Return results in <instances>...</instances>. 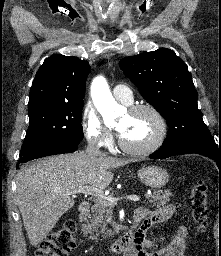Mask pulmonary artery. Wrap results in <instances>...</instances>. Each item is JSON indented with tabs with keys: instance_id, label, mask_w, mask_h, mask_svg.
Listing matches in <instances>:
<instances>
[{
	"instance_id": "obj_1",
	"label": "pulmonary artery",
	"mask_w": 221,
	"mask_h": 256,
	"mask_svg": "<svg viewBox=\"0 0 221 256\" xmlns=\"http://www.w3.org/2000/svg\"><path fill=\"white\" fill-rule=\"evenodd\" d=\"M113 95L114 97L125 104H130L132 102V91L131 89L124 85V84H118L113 88Z\"/></svg>"
}]
</instances>
